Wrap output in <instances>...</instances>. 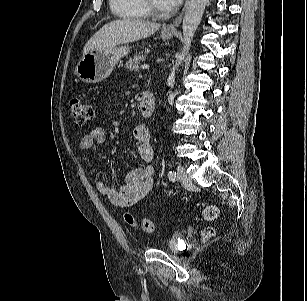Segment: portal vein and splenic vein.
Wrapping results in <instances>:
<instances>
[{"label":"portal vein and splenic vein","instance_id":"portal-vein-and-splenic-vein-1","mask_svg":"<svg viewBox=\"0 0 307 301\" xmlns=\"http://www.w3.org/2000/svg\"><path fill=\"white\" fill-rule=\"evenodd\" d=\"M149 67H150V66H149L148 64H143V65H141V68H142V69H145V70H146V69H149Z\"/></svg>","mask_w":307,"mask_h":301}]
</instances>
